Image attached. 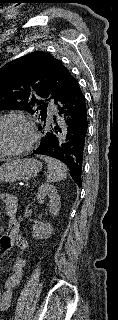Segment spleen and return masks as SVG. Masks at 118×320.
Wrapping results in <instances>:
<instances>
[{
    "label": "spleen",
    "mask_w": 118,
    "mask_h": 320,
    "mask_svg": "<svg viewBox=\"0 0 118 320\" xmlns=\"http://www.w3.org/2000/svg\"><path fill=\"white\" fill-rule=\"evenodd\" d=\"M40 158L47 163V183L63 181L67 178L68 168L64 163L48 156H41Z\"/></svg>",
    "instance_id": "3e777b00"
}]
</instances>
